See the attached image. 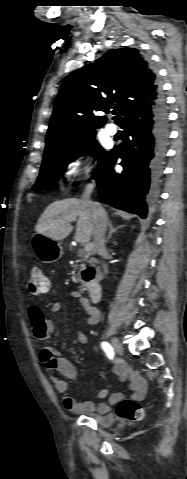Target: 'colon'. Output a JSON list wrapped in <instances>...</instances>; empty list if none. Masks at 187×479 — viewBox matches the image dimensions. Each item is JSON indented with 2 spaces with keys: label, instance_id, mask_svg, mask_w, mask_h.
I'll return each instance as SVG.
<instances>
[{
  "label": "colon",
  "instance_id": "colon-1",
  "mask_svg": "<svg viewBox=\"0 0 187 479\" xmlns=\"http://www.w3.org/2000/svg\"><path fill=\"white\" fill-rule=\"evenodd\" d=\"M27 289L29 294L33 296L43 295L48 292L49 283L43 270L39 268L30 270ZM116 415L125 421L135 422L143 418V410L134 400L123 399L117 404Z\"/></svg>",
  "mask_w": 187,
  "mask_h": 479
}]
</instances>
